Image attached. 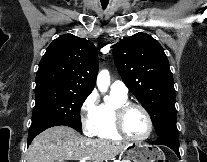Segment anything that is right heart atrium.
Segmentation results:
<instances>
[{
    "instance_id": "right-heart-atrium-1",
    "label": "right heart atrium",
    "mask_w": 207,
    "mask_h": 162,
    "mask_svg": "<svg viewBox=\"0 0 207 162\" xmlns=\"http://www.w3.org/2000/svg\"><path fill=\"white\" fill-rule=\"evenodd\" d=\"M98 96L95 91L90 92L80 106V122L85 135L95 134L97 122Z\"/></svg>"
}]
</instances>
